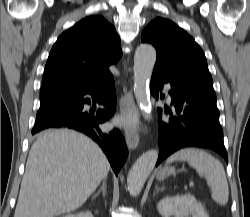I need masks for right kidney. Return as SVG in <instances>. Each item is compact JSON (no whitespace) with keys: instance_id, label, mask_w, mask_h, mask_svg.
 <instances>
[{"instance_id":"ca27d5eb","label":"right kidney","mask_w":250,"mask_h":217,"mask_svg":"<svg viewBox=\"0 0 250 217\" xmlns=\"http://www.w3.org/2000/svg\"><path fill=\"white\" fill-rule=\"evenodd\" d=\"M64 217H93L92 213L89 211L86 212H81L78 214H70V215H66Z\"/></svg>"}]
</instances>
